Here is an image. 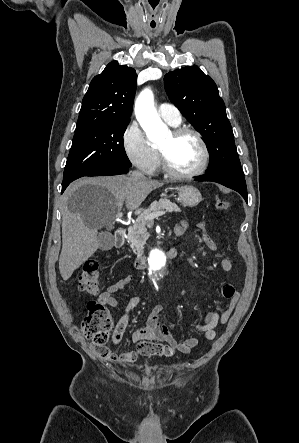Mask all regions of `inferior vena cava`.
I'll list each match as a JSON object with an SVG mask.
<instances>
[{"label":"inferior vena cava","instance_id":"obj_1","mask_svg":"<svg viewBox=\"0 0 299 443\" xmlns=\"http://www.w3.org/2000/svg\"><path fill=\"white\" fill-rule=\"evenodd\" d=\"M131 177L136 180L145 179L144 174L138 170L133 171Z\"/></svg>","mask_w":299,"mask_h":443}]
</instances>
